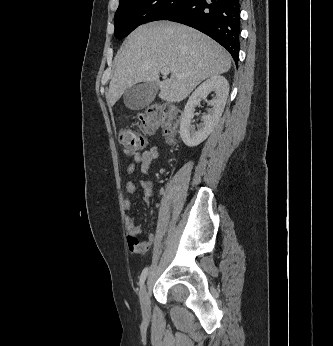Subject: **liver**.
<instances>
[{"label":"liver","instance_id":"1","mask_svg":"<svg viewBox=\"0 0 333 346\" xmlns=\"http://www.w3.org/2000/svg\"><path fill=\"white\" fill-rule=\"evenodd\" d=\"M164 67L171 76L160 81ZM230 68L229 53L207 35L178 23H148L134 30L118 51L107 102L112 107L140 82L157 83L160 99L180 102L201 81Z\"/></svg>","mask_w":333,"mask_h":346}]
</instances>
